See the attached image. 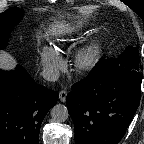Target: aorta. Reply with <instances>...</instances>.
Masks as SVG:
<instances>
[{
    "label": "aorta",
    "mask_w": 144,
    "mask_h": 144,
    "mask_svg": "<svg viewBox=\"0 0 144 144\" xmlns=\"http://www.w3.org/2000/svg\"><path fill=\"white\" fill-rule=\"evenodd\" d=\"M51 117L57 123H61V122L66 121L69 117L67 107L63 104H56L51 109Z\"/></svg>",
    "instance_id": "1"
}]
</instances>
